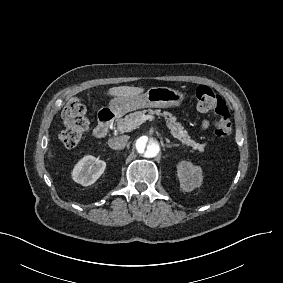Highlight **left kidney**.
<instances>
[{"instance_id": "1", "label": "left kidney", "mask_w": 283, "mask_h": 283, "mask_svg": "<svg viewBox=\"0 0 283 283\" xmlns=\"http://www.w3.org/2000/svg\"><path fill=\"white\" fill-rule=\"evenodd\" d=\"M177 168L180 186L183 191L190 192L201 186L202 171L200 167H195L190 162L182 161Z\"/></svg>"}]
</instances>
